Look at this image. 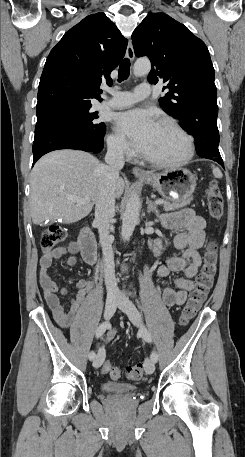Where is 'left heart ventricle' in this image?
Returning <instances> with one entry per match:
<instances>
[{"instance_id":"b2bd125f","label":"left heart ventricle","mask_w":245,"mask_h":457,"mask_svg":"<svg viewBox=\"0 0 245 457\" xmlns=\"http://www.w3.org/2000/svg\"><path fill=\"white\" fill-rule=\"evenodd\" d=\"M185 142L177 133L158 127L149 144L142 149L143 154L154 158H177L183 154Z\"/></svg>"}]
</instances>
